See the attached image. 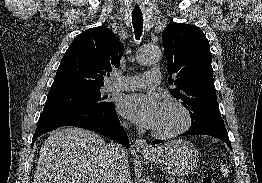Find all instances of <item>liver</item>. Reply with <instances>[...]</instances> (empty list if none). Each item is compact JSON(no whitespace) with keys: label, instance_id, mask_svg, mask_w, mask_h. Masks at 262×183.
Wrapping results in <instances>:
<instances>
[{"label":"liver","instance_id":"1","mask_svg":"<svg viewBox=\"0 0 262 183\" xmlns=\"http://www.w3.org/2000/svg\"><path fill=\"white\" fill-rule=\"evenodd\" d=\"M107 146L85 129L57 130L41 147L33 183H112Z\"/></svg>","mask_w":262,"mask_h":183}]
</instances>
